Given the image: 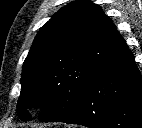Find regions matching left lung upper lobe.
<instances>
[{
	"mask_svg": "<svg viewBox=\"0 0 142 128\" xmlns=\"http://www.w3.org/2000/svg\"><path fill=\"white\" fill-rule=\"evenodd\" d=\"M127 44L111 19L89 0L60 9L38 32L24 61L17 108H43L40 119L60 121L91 78Z\"/></svg>",
	"mask_w": 142,
	"mask_h": 128,
	"instance_id": "5c2ea615",
	"label": "left lung upper lobe"
}]
</instances>
